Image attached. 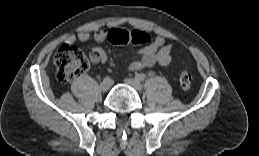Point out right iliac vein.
Instances as JSON below:
<instances>
[{"label":"right iliac vein","instance_id":"1","mask_svg":"<svg viewBox=\"0 0 259 156\" xmlns=\"http://www.w3.org/2000/svg\"><path fill=\"white\" fill-rule=\"evenodd\" d=\"M110 86H111V82H110V81H105V80H103V81L100 83V90H101L102 92H106V91L109 90Z\"/></svg>","mask_w":259,"mask_h":156}]
</instances>
